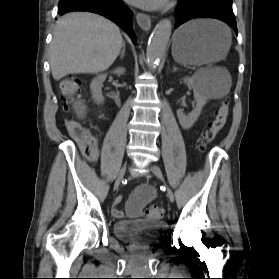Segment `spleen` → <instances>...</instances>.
<instances>
[{
  "instance_id": "1",
  "label": "spleen",
  "mask_w": 279,
  "mask_h": 279,
  "mask_svg": "<svg viewBox=\"0 0 279 279\" xmlns=\"http://www.w3.org/2000/svg\"><path fill=\"white\" fill-rule=\"evenodd\" d=\"M223 28L230 33V30L228 27L223 26ZM207 70H200L198 71L194 77L199 82L200 91L209 97L212 98H221L225 96L231 87V78L230 76H226V80L220 81V80H214L210 78L208 75H206Z\"/></svg>"
}]
</instances>
